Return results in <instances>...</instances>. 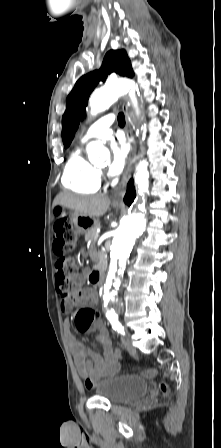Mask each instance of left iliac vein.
<instances>
[{
    "label": "left iliac vein",
    "instance_id": "4c4485c4",
    "mask_svg": "<svg viewBox=\"0 0 221 448\" xmlns=\"http://www.w3.org/2000/svg\"><path fill=\"white\" fill-rule=\"evenodd\" d=\"M122 342L124 347L131 353H134L136 351L135 347L132 344V339L130 334H126L123 338H122Z\"/></svg>",
    "mask_w": 221,
    "mask_h": 448
}]
</instances>
